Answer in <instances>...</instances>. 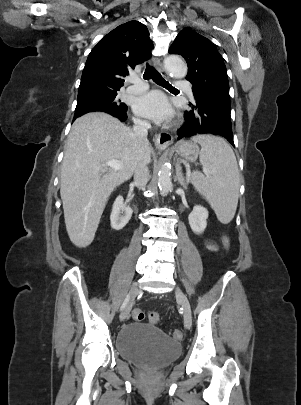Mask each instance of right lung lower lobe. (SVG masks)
Instances as JSON below:
<instances>
[{"label":"right lung lower lobe","instance_id":"1","mask_svg":"<svg viewBox=\"0 0 301 405\" xmlns=\"http://www.w3.org/2000/svg\"><path fill=\"white\" fill-rule=\"evenodd\" d=\"M106 113L117 117L118 119H120L121 121H125L127 119V114L126 111L124 112H116V111H106ZM77 117H74V119H76Z\"/></svg>","mask_w":301,"mask_h":405}]
</instances>
